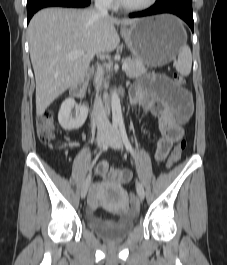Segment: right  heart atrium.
<instances>
[{
	"label": "right heart atrium",
	"instance_id": "right-heart-atrium-1",
	"mask_svg": "<svg viewBox=\"0 0 227 265\" xmlns=\"http://www.w3.org/2000/svg\"><path fill=\"white\" fill-rule=\"evenodd\" d=\"M96 1L105 7H111L114 5L115 2V0H96Z\"/></svg>",
	"mask_w": 227,
	"mask_h": 265
}]
</instances>
